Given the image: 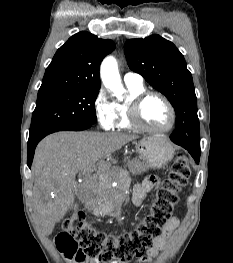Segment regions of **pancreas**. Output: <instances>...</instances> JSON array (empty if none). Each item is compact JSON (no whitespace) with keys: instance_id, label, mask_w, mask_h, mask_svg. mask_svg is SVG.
I'll return each mask as SVG.
<instances>
[{"instance_id":"pancreas-1","label":"pancreas","mask_w":233,"mask_h":263,"mask_svg":"<svg viewBox=\"0 0 233 263\" xmlns=\"http://www.w3.org/2000/svg\"><path fill=\"white\" fill-rule=\"evenodd\" d=\"M117 182L116 188L98 186L96 191L97 204L92 208L95 216H105L111 213L126 198L125 192L129 189L131 178L123 171L119 170L114 179Z\"/></svg>"}]
</instances>
